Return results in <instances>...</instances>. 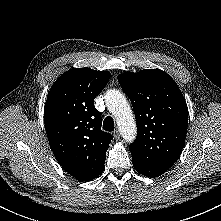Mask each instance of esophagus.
Here are the masks:
<instances>
[{"instance_id": "1", "label": "esophagus", "mask_w": 221, "mask_h": 221, "mask_svg": "<svg viewBox=\"0 0 221 221\" xmlns=\"http://www.w3.org/2000/svg\"><path fill=\"white\" fill-rule=\"evenodd\" d=\"M113 136L116 140H118L120 138V132L119 130H115L114 133H113Z\"/></svg>"}]
</instances>
